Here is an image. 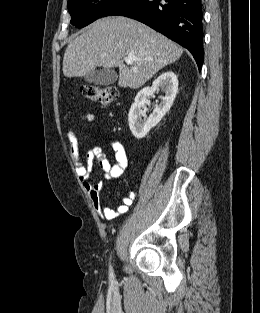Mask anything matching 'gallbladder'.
<instances>
[{
	"instance_id": "bac80fb5",
	"label": "gallbladder",
	"mask_w": 260,
	"mask_h": 313,
	"mask_svg": "<svg viewBox=\"0 0 260 313\" xmlns=\"http://www.w3.org/2000/svg\"><path fill=\"white\" fill-rule=\"evenodd\" d=\"M117 73L113 69L94 70L84 76L85 81L100 86L113 84L117 80Z\"/></svg>"
}]
</instances>
